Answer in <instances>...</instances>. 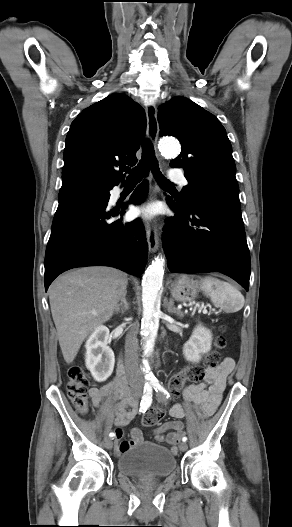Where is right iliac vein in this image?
<instances>
[{
    "label": "right iliac vein",
    "instance_id": "right-iliac-vein-1",
    "mask_svg": "<svg viewBox=\"0 0 292 527\" xmlns=\"http://www.w3.org/2000/svg\"><path fill=\"white\" fill-rule=\"evenodd\" d=\"M136 396H139V394H137ZM105 446H106L107 449H112V447H113V442H112V440H111V439H107V440L105 441Z\"/></svg>",
    "mask_w": 292,
    "mask_h": 527
}]
</instances>
